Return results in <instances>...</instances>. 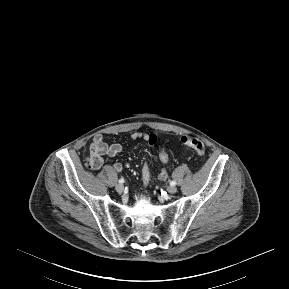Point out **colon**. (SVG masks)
I'll list each match as a JSON object with an SVG mask.
<instances>
[{
    "instance_id": "obj_1",
    "label": "colon",
    "mask_w": 289,
    "mask_h": 289,
    "mask_svg": "<svg viewBox=\"0 0 289 289\" xmlns=\"http://www.w3.org/2000/svg\"><path fill=\"white\" fill-rule=\"evenodd\" d=\"M181 142L184 145L194 149L199 156L204 155L205 152L204 145L198 138L192 136H183L181 138ZM149 143L151 145L156 143V136L154 134L150 136ZM158 158L163 163L168 162L169 160L168 152L165 149H161L158 153ZM85 164L89 168H94V163L91 157L86 160ZM149 181H150V165L148 161H145L142 167V182L145 186H147L149 184Z\"/></svg>"
}]
</instances>
